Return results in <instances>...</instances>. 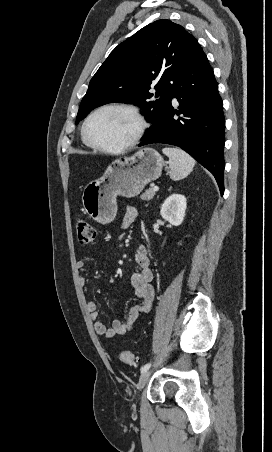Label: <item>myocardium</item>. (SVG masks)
I'll use <instances>...</instances> for the list:
<instances>
[{
    "label": "myocardium",
    "mask_w": 272,
    "mask_h": 452,
    "mask_svg": "<svg viewBox=\"0 0 272 452\" xmlns=\"http://www.w3.org/2000/svg\"><path fill=\"white\" fill-rule=\"evenodd\" d=\"M111 109L127 112L128 114H130L132 116V118L136 122V130H135V133L133 134V136L130 138V140L128 142H126L125 144L118 146V147H110V146H106V145L96 142L95 140H93L91 138L89 131H88L89 123L93 119V117H95L98 113H100L102 111L111 110ZM146 128H147V123L137 108H135L131 105H128V104L109 103V104H104V105L96 108L94 111H92L88 115V117L85 119L83 126H82V136H83L84 141L90 147H92L94 149H97V150H100L103 152L119 154V153L125 152V151L131 149L132 147H134L143 137V135L146 131Z\"/></svg>",
    "instance_id": "obj_1"
}]
</instances>
